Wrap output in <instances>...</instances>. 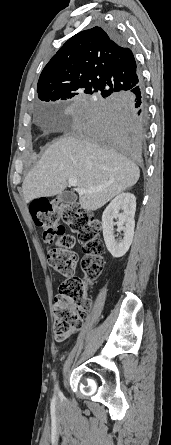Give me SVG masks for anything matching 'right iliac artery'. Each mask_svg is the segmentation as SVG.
<instances>
[{"mask_svg":"<svg viewBox=\"0 0 171 445\" xmlns=\"http://www.w3.org/2000/svg\"><path fill=\"white\" fill-rule=\"evenodd\" d=\"M55 389L58 391V385H56Z\"/></svg>","mask_w":171,"mask_h":445,"instance_id":"1","label":"right iliac artery"}]
</instances>
